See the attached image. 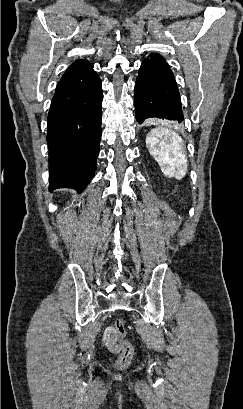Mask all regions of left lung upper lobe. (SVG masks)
Here are the masks:
<instances>
[{"label":"left lung upper lobe","instance_id":"5c2ea615","mask_svg":"<svg viewBox=\"0 0 243 409\" xmlns=\"http://www.w3.org/2000/svg\"><path fill=\"white\" fill-rule=\"evenodd\" d=\"M148 59L155 60V61L167 64L166 61L164 60V58L162 56H160V55H157V54L150 55Z\"/></svg>","mask_w":243,"mask_h":409}]
</instances>
